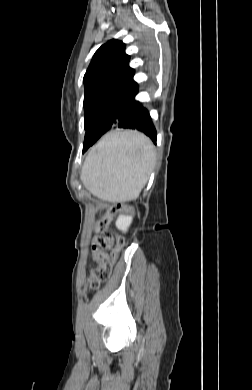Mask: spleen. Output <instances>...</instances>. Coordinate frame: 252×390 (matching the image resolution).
Listing matches in <instances>:
<instances>
[{
	"label": "spleen",
	"instance_id": "1",
	"mask_svg": "<svg viewBox=\"0 0 252 390\" xmlns=\"http://www.w3.org/2000/svg\"><path fill=\"white\" fill-rule=\"evenodd\" d=\"M155 161L151 141L135 131L107 135L89 152L80 179L94 196L108 202L138 198Z\"/></svg>",
	"mask_w": 252,
	"mask_h": 390
}]
</instances>
